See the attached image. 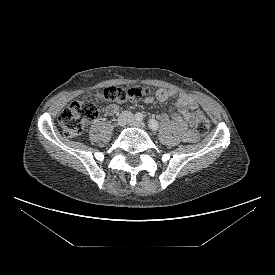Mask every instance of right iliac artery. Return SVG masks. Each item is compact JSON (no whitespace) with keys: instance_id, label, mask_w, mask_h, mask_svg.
I'll list each match as a JSON object with an SVG mask.
<instances>
[{"instance_id":"1","label":"right iliac artery","mask_w":275,"mask_h":275,"mask_svg":"<svg viewBox=\"0 0 275 275\" xmlns=\"http://www.w3.org/2000/svg\"><path fill=\"white\" fill-rule=\"evenodd\" d=\"M135 119H136L137 121H142V120H143V114L140 113V112L136 113V114H135Z\"/></svg>"}]
</instances>
